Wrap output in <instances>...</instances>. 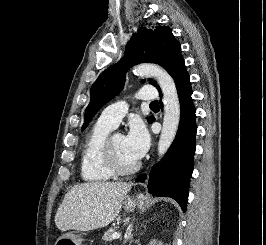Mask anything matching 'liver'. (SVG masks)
Here are the masks:
<instances>
[{"mask_svg":"<svg viewBox=\"0 0 266 245\" xmlns=\"http://www.w3.org/2000/svg\"><path fill=\"white\" fill-rule=\"evenodd\" d=\"M130 183H81L64 197L55 215L60 231H94L114 221L122 201L131 191Z\"/></svg>","mask_w":266,"mask_h":245,"instance_id":"liver-1","label":"liver"}]
</instances>
